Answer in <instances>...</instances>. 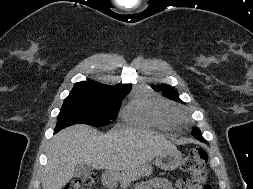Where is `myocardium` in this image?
Instances as JSON below:
<instances>
[{
  "label": "myocardium",
  "mask_w": 253,
  "mask_h": 189,
  "mask_svg": "<svg viewBox=\"0 0 253 189\" xmlns=\"http://www.w3.org/2000/svg\"><path fill=\"white\" fill-rule=\"evenodd\" d=\"M178 121L184 122L185 121L184 116L178 114Z\"/></svg>",
  "instance_id": "myocardium-1"
}]
</instances>
